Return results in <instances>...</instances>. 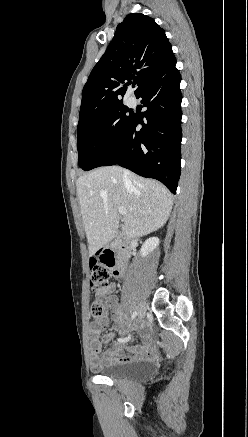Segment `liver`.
Instances as JSON below:
<instances>
[{"mask_svg":"<svg viewBox=\"0 0 248 437\" xmlns=\"http://www.w3.org/2000/svg\"><path fill=\"white\" fill-rule=\"evenodd\" d=\"M76 187L90 256L115 237L119 207L127 212L121 231L128 239L158 230L172 210V196L165 186L118 166L81 175Z\"/></svg>","mask_w":248,"mask_h":437,"instance_id":"obj_1","label":"liver"}]
</instances>
